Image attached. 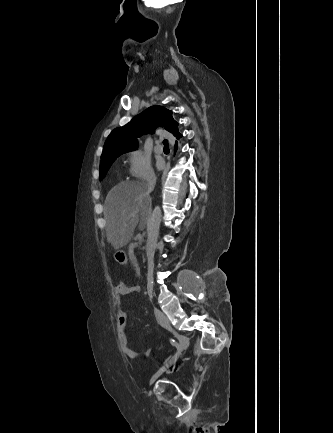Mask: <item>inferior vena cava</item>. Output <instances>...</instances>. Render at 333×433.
<instances>
[{
  "mask_svg": "<svg viewBox=\"0 0 333 433\" xmlns=\"http://www.w3.org/2000/svg\"><path fill=\"white\" fill-rule=\"evenodd\" d=\"M146 180H147V187H148L149 192L153 191L154 187L156 185V176H155L154 172H149ZM154 315L156 317L157 322H166L167 321L166 316L157 308H154Z\"/></svg>",
  "mask_w": 333,
  "mask_h": 433,
  "instance_id": "obj_1",
  "label": "inferior vena cava"
}]
</instances>
